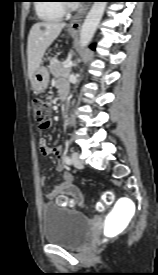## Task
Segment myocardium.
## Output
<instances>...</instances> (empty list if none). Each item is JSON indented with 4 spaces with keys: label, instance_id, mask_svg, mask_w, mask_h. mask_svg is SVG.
<instances>
[{
    "label": "myocardium",
    "instance_id": "f54148a6",
    "mask_svg": "<svg viewBox=\"0 0 158 275\" xmlns=\"http://www.w3.org/2000/svg\"><path fill=\"white\" fill-rule=\"evenodd\" d=\"M63 7H64L65 10H72V9H74V6L72 4H69V3H64Z\"/></svg>",
    "mask_w": 158,
    "mask_h": 275
}]
</instances>
